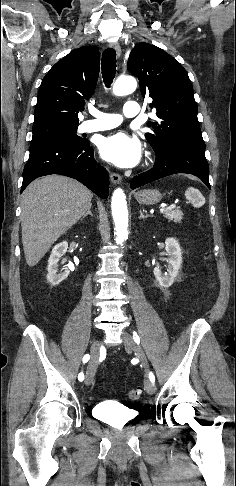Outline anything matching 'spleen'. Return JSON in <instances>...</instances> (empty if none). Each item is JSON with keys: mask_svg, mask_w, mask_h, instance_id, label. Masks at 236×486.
Returning a JSON list of instances; mask_svg holds the SVG:
<instances>
[{"mask_svg": "<svg viewBox=\"0 0 236 486\" xmlns=\"http://www.w3.org/2000/svg\"><path fill=\"white\" fill-rule=\"evenodd\" d=\"M185 196L195 208H199L205 204V198L198 189L189 187L185 192Z\"/></svg>", "mask_w": 236, "mask_h": 486, "instance_id": "spleen-1", "label": "spleen"}]
</instances>
